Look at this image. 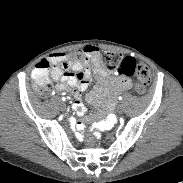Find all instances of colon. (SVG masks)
Returning <instances> with one entry per match:
<instances>
[{
	"label": "colon",
	"instance_id": "obj_1",
	"mask_svg": "<svg viewBox=\"0 0 183 183\" xmlns=\"http://www.w3.org/2000/svg\"><path fill=\"white\" fill-rule=\"evenodd\" d=\"M88 58L84 50H76L67 56L62 65L82 64L87 62ZM102 65L110 71H116L119 75L125 77H134L136 80L134 91L138 95L145 92L146 87L151 81V71L145 64L137 63L132 57H123L116 52H103L101 54ZM50 63L48 60L38 62L33 70V83L40 91L44 92L49 87L48 70ZM84 144L92 147L96 142V133L93 130H87L84 133Z\"/></svg>",
	"mask_w": 183,
	"mask_h": 183
}]
</instances>
